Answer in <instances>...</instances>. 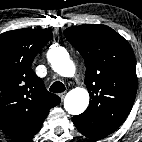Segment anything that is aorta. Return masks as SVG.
Masks as SVG:
<instances>
[{"mask_svg": "<svg viewBox=\"0 0 142 142\" xmlns=\"http://www.w3.org/2000/svg\"><path fill=\"white\" fill-rule=\"evenodd\" d=\"M52 69L63 77H72L75 65L69 53L62 46L53 45L47 53ZM89 105V93L85 88H75L68 92L64 99V108L71 115L83 113Z\"/></svg>", "mask_w": 142, "mask_h": 142, "instance_id": "aorta-1", "label": "aorta"}]
</instances>
